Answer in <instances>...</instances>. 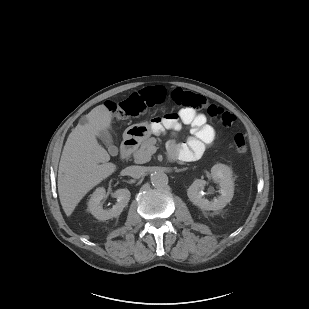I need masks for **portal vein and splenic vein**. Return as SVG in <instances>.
<instances>
[{"label": "portal vein and splenic vein", "mask_w": 309, "mask_h": 309, "mask_svg": "<svg viewBox=\"0 0 309 309\" xmlns=\"http://www.w3.org/2000/svg\"><path fill=\"white\" fill-rule=\"evenodd\" d=\"M151 152L154 153L155 152V148L152 147L151 148Z\"/></svg>", "instance_id": "portal-vein-and-splenic-vein-1"}]
</instances>
